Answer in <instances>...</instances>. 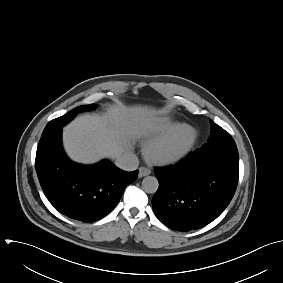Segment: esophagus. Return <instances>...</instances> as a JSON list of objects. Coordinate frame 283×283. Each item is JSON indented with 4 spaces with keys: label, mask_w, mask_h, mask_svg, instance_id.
Masks as SVG:
<instances>
[{
    "label": "esophagus",
    "mask_w": 283,
    "mask_h": 283,
    "mask_svg": "<svg viewBox=\"0 0 283 283\" xmlns=\"http://www.w3.org/2000/svg\"><path fill=\"white\" fill-rule=\"evenodd\" d=\"M151 174V170L147 167H140L139 168V177L148 176Z\"/></svg>",
    "instance_id": "obj_1"
}]
</instances>
